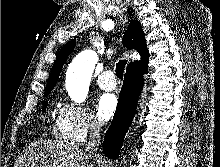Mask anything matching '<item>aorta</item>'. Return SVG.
I'll list each match as a JSON object with an SVG mask.
<instances>
[{"instance_id":"obj_1","label":"aorta","mask_w":220,"mask_h":167,"mask_svg":"<svg viewBox=\"0 0 220 167\" xmlns=\"http://www.w3.org/2000/svg\"><path fill=\"white\" fill-rule=\"evenodd\" d=\"M97 61V54L94 51L87 50L78 54L69 65L66 75V88L74 102L85 101Z\"/></svg>"}]
</instances>
